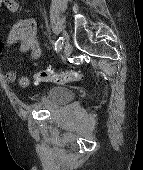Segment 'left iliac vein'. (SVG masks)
Returning <instances> with one entry per match:
<instances>
[{
  "mask_svg": "<svg viewBox=\"0 0 143 170\" xmlns=\"http://www.w3.org/2000/svg\"><path fill=\"white\" fill-rule=\"evenodd\" d=\"M72 53V47L69 44V36L66 32H64V38H63V54L64 58H67Z\"/></svg>",
  "mask_w": 143,
  "mask_h": 170,
  "instance_id": "1",
  "label": "left iliac vein"
}]
</instances>
